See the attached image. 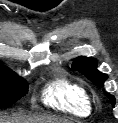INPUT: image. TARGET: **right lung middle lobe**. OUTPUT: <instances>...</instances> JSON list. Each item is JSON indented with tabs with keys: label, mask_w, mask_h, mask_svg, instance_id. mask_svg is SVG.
<instances>
[{
	"label": "right lung middle lobe",
	"mask_w": 118,
	"mask_h": 123,
	"mask_svg": "<svg viewBox=\"0 0 118 123\" xmlns=\"http://www.w3.org/2000/svg\"><path fill=\"white\" fill-rule=\"evenodd\" d=\"M28 83L0 64V107L16 103L28 92Z\"/></svg>",
	"instance_id": "dd1d6c3e"
}]
</instances>
